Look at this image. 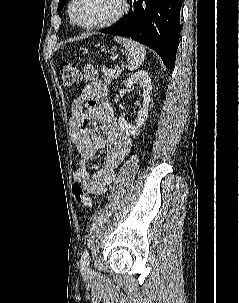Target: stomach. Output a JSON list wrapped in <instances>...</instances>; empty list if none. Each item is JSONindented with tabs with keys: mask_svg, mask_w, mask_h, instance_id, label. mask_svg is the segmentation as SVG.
<instances>
[{
	"mask_svg": "<svg viewBox=\"0 0 239 303\" xmlns=\"http://www.w3.org/2000/svg\"><path fill=\"white\" fill-rule=\"evenodd\" d=\"M114 51H115V49H114V48H112V49H111V51H108V52H110V53H112V54H113V53H114Z\"/></svg>",
	"mask_w": 239,
	"mask_h": 303,
	"instance_id": "stomach-1",
	"label": "stomach"
}]
</instances>
